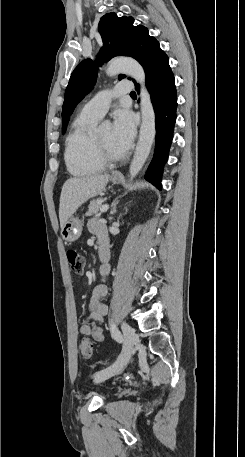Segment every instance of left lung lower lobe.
<instances>
[{
	"mask_svg": "<svg viewBox=\"0 0 245 457\" xmlns=\"http://www.w3.org/2000/svg\"><path fill=\"white\" fill-rule=\"evenodd\" d=\"M141 65L146 73V86L151 96L156 123V146L145 178L161 190L163 167L168 159L176 121L177 91L169 59L160 48L151 52ZM135 85L138 91L139 85Z\"/></svg>",
	"mask_w": 245,
	"mask_h": 457,
	"instance_id": "1",
	"label": "left lung lower lobe"
}]
</instances>
